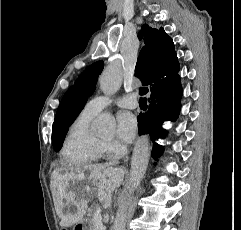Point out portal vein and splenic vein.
Here are the masks:
<instances>
[{"label": "portal vein and splenic vein", "instance_id": "portal-vein-and-splenic-vein-1", "mask_svg": "<svg viewBox=\"0 0 241 230\" xmlns=\"http://www.w3.org/2000/svg\"><path fill=\"white\" fill-rule=\"evenodd\" d=\"M106 202L109 203L110 201H106ZM93 221H94L95 225L100 228V230L103 229L102 216L98 209L96 210V212L93 215Z\"/></svg>", "mask_w": 241, "mask_h": 230}]
</instances>
